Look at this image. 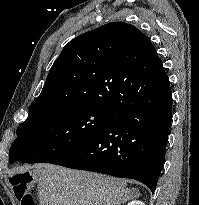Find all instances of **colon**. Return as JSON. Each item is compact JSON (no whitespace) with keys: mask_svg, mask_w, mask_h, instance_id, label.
<instances>
[{"mask_svg":"<svg viewBox=\"0 0 199 205\" xmlns=\"http://www.w3.org/2000/svg\"><path fill=\"white\" fill-rule=\"evenodd\" d=\"M30 181L31 175L28 173L16 174L11 178L14 194L21 205H34L33 198L28 190Z\"/></svg>","mask_w":199,"mask_h":205,"instance_id":"5ec220e1","label":"colon"}]
</instances>
